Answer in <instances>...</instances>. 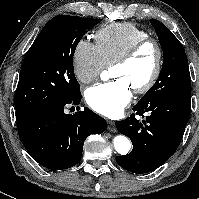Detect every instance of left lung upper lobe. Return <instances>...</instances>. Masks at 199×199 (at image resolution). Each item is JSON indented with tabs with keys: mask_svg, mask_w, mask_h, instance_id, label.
I'll return each mask as SVG.
<instances>
[{
	"mask_svg": "<svg viewBox=\"0 0 199 199\" xmlns=\"http://www.w3.org/2000/svg\"><path fill=\"white\" fill-rule=\"evenodd\" d=\"M161 44L164 62L151 89L136 104L147 106L171 97H191V78L185 50L174 34L160 21L150 20Z\"/></svg>",
	"mask_w": 199,
	"mask_h": 199,
	"instance_id": "left-lung-upper-lobe-1",
	"label": "left lung upper lobe"
}]
</instances>
